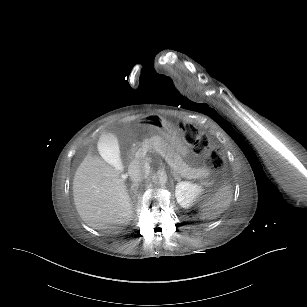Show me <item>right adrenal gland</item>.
<instances>
[{
	"label": "right adrenal gland",
	"mask_w": 307,
	"mask_h": 307,
	"mask_svg": "<svg viewBox=\"0 0 307 307\" xmlns=\"http://www.w3.org/2000/svg\"><path fill=\"white\" fill-rule=\"evenodd\" d=\"M135 186H136V184H133V185H132V188H131V193L133 194V196H132V198H131V201H132V200H133V201L136 200V194L133 193V191H132V189H133Z\"/></svg>",
	"instance_id": "right-adrenal-gland-1"
}]
</instances>
